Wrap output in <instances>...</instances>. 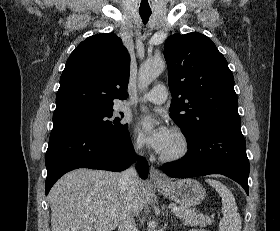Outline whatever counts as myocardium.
Returning a JSON list of instances; mask_svg holds the SVG:
<instances>
[{"label": "myocardium", "mask_w": 280, "mask_h": 231, "mask_svg": "<svg viewBox=\"0 0 280 231\" xmlns=\"http://www.w3.org/2000/svg\"><path fill=\"white\" fill-rule=\"evenodd\" d=\"M176 148L169 153H164L160 158L165 162H176L183 159L190 151L191 143L187 134L176 130L175 132Z\"/></svg>", "instance_id": "1"}]
</instances>
